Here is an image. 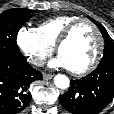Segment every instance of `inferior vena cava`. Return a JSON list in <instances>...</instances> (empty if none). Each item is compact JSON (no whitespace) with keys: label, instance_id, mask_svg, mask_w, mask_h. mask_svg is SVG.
<instances>
[{"label":"inferior vena cava","instance_id":"1","mask_svg":"<svg viewBox=\"0 0 114 114\" xmlns=\"http://www.w3.org/2000/svg\"><path fill=\"white\" fill-rule=\"evenodd\" d=\"M28 62L36 66H42L44 64V58L40 56H32L28 59Z\"/></svg>","mask_w":114,"mask_h":114}]
</instances>
